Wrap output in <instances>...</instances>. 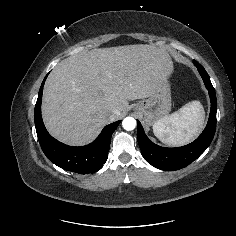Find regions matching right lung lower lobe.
<instances>
[{"instance_id":"1","label":"right lung lower lobe","mask_w":236,"mask_h":236,"mask_svg":"<svg viewBox=\"0 0 236 236\" xmlns=\"http://www.w3.org/2000/svg\"><path fill=\"white\" fill-rule=\"evenodd\" d=\"M44 78L35 105V127L41 148L46 157L58 167L79 173H95L103 167L108 157L111 136L120 120L104 127L95 141L86 146L72 147L54 139L46 130L41 116Z\"/></svg>"}]
</instances>
